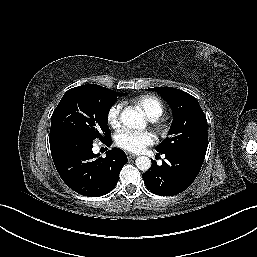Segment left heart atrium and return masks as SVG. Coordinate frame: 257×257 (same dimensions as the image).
Instances as JSON below:
<instances>
[{"label":"left heart atrium","instance_id":"39dd6f15","mask_svg":"<svg viewBox=\"0 0 257 257\" xmlns=\"http://www.w3.org/2000/svg\"><path fill=\"white\" fill-rule=\"evenodd\" d=\"M155 141V135L147 131L124 129L116 136L117 146L134 153L143 151L146 147L153 145Z\"/></svg>","mask_w":257,"mask_h":257}]
</instances>
